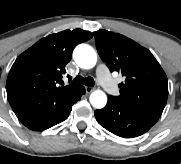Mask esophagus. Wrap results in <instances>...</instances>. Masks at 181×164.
Instances as JSON below:
<instances>
[{"label": "esophagus", "instance_id": "34e87169", "mask_svg": "<svg viewBox=\"0 0 181 164\" xmlns=\"http://www.w3.org/2000/svg\"><path fill=\"white\" fill-rule=\"evenodd\" d=\"M85 91H86L87 94H89V93H91L93 91V88L90 87V86H86Z\"/></svg>", "mask_w": 181, "mask_h": 164}]
</instances>
